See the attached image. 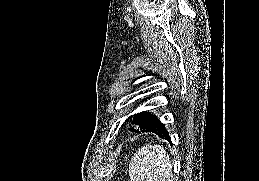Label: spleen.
<instances>
[{"mask_svg": "<svg viewBox=\"0 0 259 181\" xmlns=\"http://www.w3.org/2000/svg\"><path fill=\"white\" fill-rule=\"evenodd\" d=\"M131 181H173L172 163L163 146H143L131 158Z\"/></svg>", "mask_w": 259, "mask_h": 181, "instance_id": "obj_1", "label": "spleen"}]
</instances>
